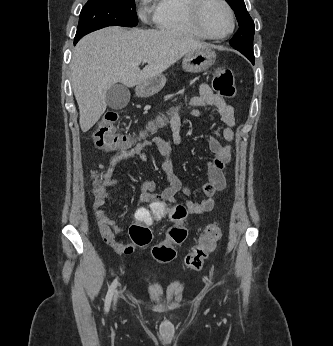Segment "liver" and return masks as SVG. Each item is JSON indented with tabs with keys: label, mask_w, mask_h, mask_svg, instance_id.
Segmentation results:
<instances>
[{
	"label": "liver",
	"mask_w": 333,
	"mask_h": 346,
	"mask_svg": "<svg viewBox=\"0 0 333 346\" xmlns=\"http://www.w3.org/2000/svg\"><path fill=\"white\" fill-rule=\"evenodd\" d=\"M205 47L208 45L168 30L108 27L83 37L70 64L81 130L87 132L105 112L111 86L118 82L138 86L187 53ZM144 60L147 65L140 70Z\"/></svg>",
	"instance_id": "obj_1"
}]
</instances>
